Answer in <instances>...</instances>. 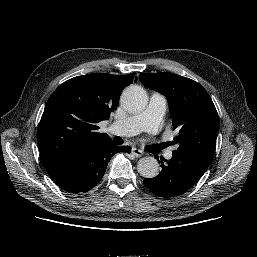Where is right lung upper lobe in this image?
<instances>
[{
  "label": "right lung upper lobe",
  "mask_w": 257,
  "mask_h": 257,
  "mask_svg": "<svg viewBox=\"0 0 257 257\" xmlns=\"http://www.w3.org/2000/svg\"><path fill=\"white\" fill-rule=\"evenodd\" d=\"M136 80L135 73H93L60 85L47 101L37 132L44 168L81 149L110 142L107 134L96 131L97 123L110 117L122 90Z\"/></svg>",
  "instance_id": "1"
}]
</instances>
